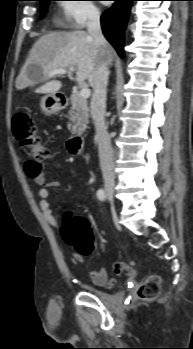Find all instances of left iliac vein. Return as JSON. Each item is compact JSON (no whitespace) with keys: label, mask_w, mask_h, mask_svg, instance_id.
I'll return each mask as SVG.
<instances>
[{"label":"left iliac vein","mask_w":193,"mask_h":349,"mask_svg":"<svg viewBox=\"0 0 193 349\" xmlns=\"http://www.w3.org/2000/svg\"><path fill=\"white\" fill-rule=\"evenodd\" d=\"M108 199H109V200H112V199H113V197L109 195V196H108Z\"/></svg>","instance_id":"1"}]
</instances>
